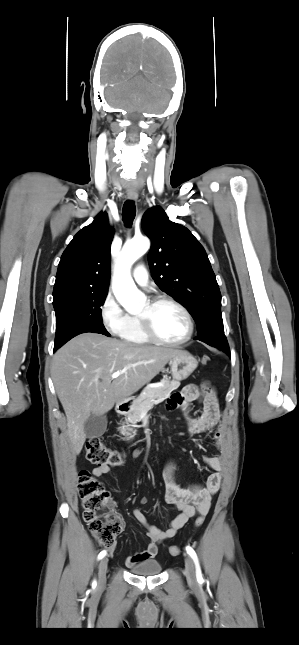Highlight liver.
<instances>
[{
  "instance_id": "obj_1",
  "label": "liver",
  "mask_w": 299,
  "mask_h": 645,
  "mask_svg": "<svg viewBox=\"0 0 299 645\" xmlns=\"http://www.w3.org/2000/svg\"><path fill=\"white\" fill-rule=\"evenodd\" d=\"M181 350L135 345L97 333L80 334L57 350L51 375L67 417L75 454L86 440L84 424L104 415L150 382ZM124 371L113 379L112 373Z\"/></svg>"
}]
</instances>
